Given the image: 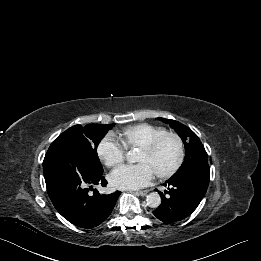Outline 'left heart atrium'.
<instances>
[{
    "label": "left heart atrium",
    "instance_id": "obj_1",
    "mask_svg": "<svg viewBox=\"0 0 261 261\" xmlns=\"http://www.w3.org/2000/svg\"><path fill=\"white\" fill-rule=\"evenodd\" d=\"M155 178L153 170L144 163L125 165L110 175V184L118 189H139L148 186Z\"/></svg>",
    "mask_w": 261,
    "mask_h": 261
}]
</instances>
